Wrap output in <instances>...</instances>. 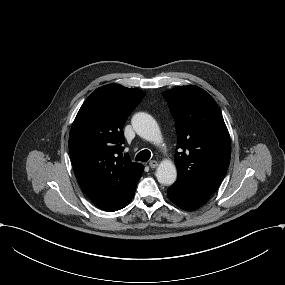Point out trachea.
<instances>
[{
  "instance_id": "1",
  "label": "trachea",
  "mask_w": 285,
  "mask_h": 285,
  "mask_svg": "<svg viewBox=\"0 0 285 285\" xmlns=\"http://www.w3.org/2000/svg\"><path fill=\"white\" fill-rule=\"evenodd\" d=\"M151 152L149 150H142L136 155L135 161H148L150 159Z\"/></svg>"
}]
</instances>
